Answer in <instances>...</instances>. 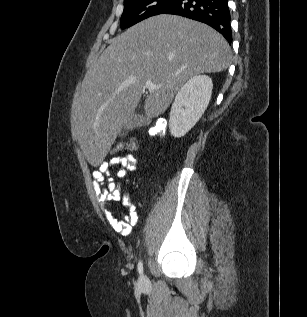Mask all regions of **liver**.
<instances>
[{"instance_id":"1","label":"liver","mask_w":307,"mask_h":317,"mask_svg":"<svg viewBox=\"0 0 307 317\" xmlns=\"http://www.w3.org/2000/svg\"><path fill=\"white\" fill-rule=\"evenodd\" d=\"M232 58L225 38L206 24L176 15L148 18L110 40L74 96L72 118L79 144L98 166L141 98L145 114L158 117L179 88L201 73L226 70Z\"/></svg>"}]
</instances>
